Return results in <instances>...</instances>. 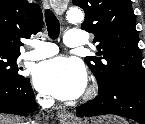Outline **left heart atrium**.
Wrapping results in <instances>:
<instances>
[{
    "label": "left heart atrium",
    "mask_w": 145,
    "mask_h": 124,
    "mask_svg": "<svg viewBox=\"0 0 145 124\" xmlns=\"http://www.w3.org/2000/svg\"><path fill=\"white\" fill-rule=\"evenodd\" d=\"M33 79L38 90L60 100L78 98L86 88L83 65L75 59L61 56L37 65Z\"/></svg>",
    "instance_id": "left-heart-atrium-1"
}]
</instances>
